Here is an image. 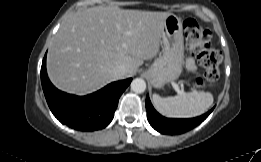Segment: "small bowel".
<instances>
[{"label":"small bowel","mask_w":261,"mask_h":162,"mask_svg":"<svg viewBox=\"0 0 261 162\" xmlns=\"http://www.w3.org/2000/svg\"><path fill=\"white\" fill-rule=\"evenodd\" d=\"M186 67L190 71H194L196 69L195 62H194V60L192 58H188L186 60Z\"/></svg>","instance_id":"small-bowel-1"}]
</instances>
